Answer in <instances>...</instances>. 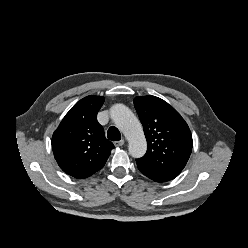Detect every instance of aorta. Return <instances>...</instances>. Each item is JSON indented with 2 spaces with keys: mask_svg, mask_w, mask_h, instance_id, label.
Returning a JSON list of instances; mask_svg holds the SVG:
<instances>
[{
  "mask_svg": "<svg viewBox=\"0 0 248 248\" xmlns=\"http://www.w3.org/2000/svg\"><path fill=\"white\" fill-rule=\"evenodd\" d=\"M110 116L127 138L129 154L134 158L142 157L146 153L147 142L137 117L123 104L113 105L110 110Z\"/></svg>",
  "mask_w": 248,
  "mask_h": 248,
  "instance_id": "obj_1",
  "label": "aorta"
}]
</instances>
